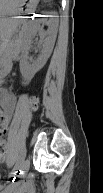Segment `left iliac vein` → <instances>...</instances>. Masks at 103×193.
Instances as JSON below:
<instances>
[{
	"label": "left iliac vein",
	"instance_id": "1",
	"mask_svg": "<svg viewBox=\"0 0 103 193\" xmlns=\"http://www.w3.org/2000/svg\"><path fill=\"white\" fill-rule=\"evenodd\" d=\"M29 167H30V160L27 159L26 161H24L22 165V172H21L22 175H25L28 172ZM16 185H17L16 183L12 184V186H16Z\"/></svg>",
	"mask_w": 103,
	"mask_h": 193
}]
</instances>
